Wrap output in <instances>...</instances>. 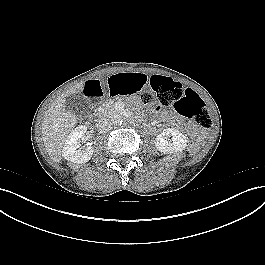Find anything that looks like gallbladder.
I'll use <instances>...</instances> for the list:
<instances>
[{
    "label": "gallbladder",
    "instance_id": "obj_1",
    "mask_svg": "<svg viewBox=\"0 0 265 265\" xmlns=\"http://www.w3.org/2000/svg\"><path fill=\"white\" fill-rule=\"evenodd\" d=\"M65 107L74 113L78 119H85L89 115V103L80 94H72L66 97Z\"/></svg>",
    "mask_w": 265,
    "mask_h": 265
}]
</instances>
